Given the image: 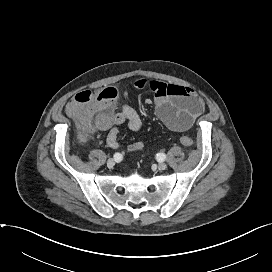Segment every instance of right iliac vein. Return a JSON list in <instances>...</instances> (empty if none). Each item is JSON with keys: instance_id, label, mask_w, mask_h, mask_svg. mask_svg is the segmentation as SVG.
Wrapping results in <instances>:
<instances>
[{"instance_id": "obj_1", "label": "right iliac vein", "mask_w": 272, "mask_h": 272, "mask_svg": "<svg viewBox=\"0 0 272 272\" xmlns=\"http://www.w3.org/2000/svg\"><path fill=\"white\" fill-rule=\"evenodd\" d=\"M114 165H115V160H114L113 158H111V159H109V160L107 161V167H108V168H113Z\"/></svg>"}]
</instances>
